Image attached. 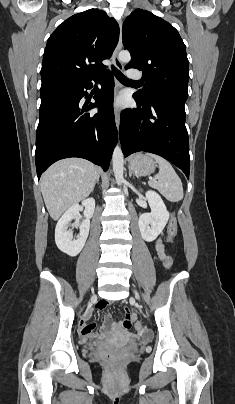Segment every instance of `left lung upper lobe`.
Returning <instances> with one entry per match:
<instances>
[{"label":"left lung upper lobe","mask_w":235,"mask_h":404,"mask_svg":"<svg viewBox=\"0 0 235 404\" xmlns=\"http://www.w3.org/2000/svg\"><path fill=\"white\" fill-rule=\"evenodd\" d=\"M123 44L131 53L125 67L143 71V90L134 95L150 101L170 97L186 101L189 62L178 31L162 18L141 9L123 23Z\"/></svg>","instance_id":"left-lung-upper-lobe-1"}]
</instances>
